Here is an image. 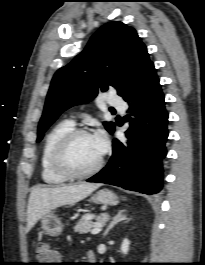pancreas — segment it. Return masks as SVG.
<instances>
[{
    "mask_svg": "<svg viewBox=\"0 0 205 265\" xmlns=\"http://www.w3.org/2000/svg\"><path fill=\"white\" fill-rule=\"evenodd\" d=\"M94 218H96L99 224H103L108 218V215L106 213L100 214L99 216L91 213L84 214L74 227V231L80 234L89 232L91 228L95 227V224L92 222Z\"/></svg>",
    "mask_w": 205,
    "mask_h": 265,
    "instance_id": "1",
    "label": "pancreas"
}]
</instances>
